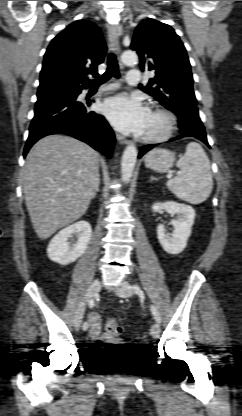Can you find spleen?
<instances>
[{
    "label": "spleen",
    "instance_id": "spleen-1",
    "mask_svg": "<svg viewBox=\"0 0 242 416\" xmlns=\"http://www.w3.org/2000/svg\"><path fill=\"white\" fill-rule=\"evenodd\" d=\"M180 174L167 182L168 189L191 204H200L211 194L213 179L210 161L202 146L190 142L185 154L177 161Z\"/></svg>",
    "mask_w": 242,
    "mask_h": 416
}]
</instances>
